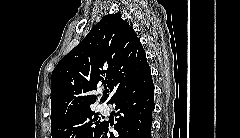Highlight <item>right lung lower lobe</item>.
<instances>
[{
	"label": "right lung lower lobe",
	"instance_id": "1",
	"mask_svg": "<svg viewBox=\"0 0 240 138\" xmlns=\"http://www.w3.org/2000/svg\"><path fill=\"white\" fill-rule=\"evenodd\" d=\"M119 109L114 125L116 133L104 122L94 138H151L154 111V84L151 74L133 87L119 92L110 102Z\"/></svg>",
	"mask_w": 240,
	"mask_h": 138
}]
</instances>
